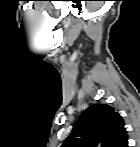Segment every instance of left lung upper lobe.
I'll use <instances>...</instances> for the list:
<instances>
[{"label":"left lung upper lobe","mask_w":140,"mask_h":147,"mask_svg":"<svg viewBox=\"0 0 140 147\" xmlns=\"http://www.w3.org/2000/svg\"><path fill=\"white\" fill-rule=\"evenodd\" d=\"M98 144L102 147L128 146L124 120L107 104L87 108L62 147H95Z\"/></svg>","instance_id":"1"}]
</instances>
